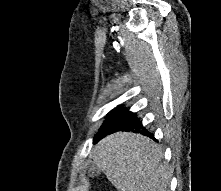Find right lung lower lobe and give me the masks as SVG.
Here are the masks:
<instances>
[{
	"mask_svg": "<svg viewBox=\"0 0 221 191\" xmlns=\"http://www.w3.org/2000/svg\"><path fill=\"white\" fill-rule=\"evenodd\" d=\"M117 131H132L154 139V136L143 127L142 122L137 118L136 114L118 106L106 118L100 132L94 138V143L106 135Z\"/></svg>",
	"mask_w": 221,
	"mask_h": 191,
	"instance_id": "right-lung-lower-lobe-1",
	"label": "right lung lower lobe"
}]
</instances>
